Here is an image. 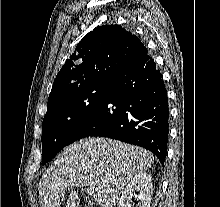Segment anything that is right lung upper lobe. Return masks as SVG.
<instances>
[{"label":"right lung upper lobe","mask_w":220,"mask_h":207,"mask_svg":"<svg viewBox=\"0 0 220 207\" xmlns=\"http://www.w3.org/2000/svg\"><path fill=\"white\" fill-rule=\"evenodd\" d=\"M147 53L141 40L121 26L97 27L83 37L62 66L48 102L84 86L109 82Z\"/></svg>","instance_id":"cb5924a9"}]
</instances>
